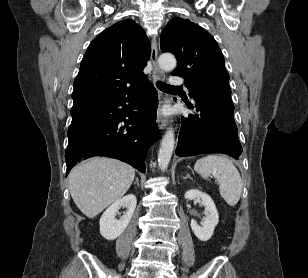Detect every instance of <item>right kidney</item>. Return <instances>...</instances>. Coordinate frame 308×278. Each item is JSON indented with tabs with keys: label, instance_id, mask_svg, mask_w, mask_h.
<instances>
[{
	"label": "right kidney",
	"instance_id": "ca27d5eb",
	"mask_svg": "<svg viewBox=\"0 0 308 278\" xmlns=\"http://www.w3.org/2000/svg\"><path fill=\"white\" fill-rule=\"evenodd\" d=\"M137 199L135 195L129 194L114 202L100 218V233L107 240H114L119 237L128 226L135 211ZM126 207L127 211L119 220L116 214L121 207Z\"/></svg>",
	"mask_w": 308,
	"mask_h": 278
}]
</instances>
